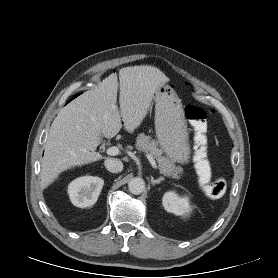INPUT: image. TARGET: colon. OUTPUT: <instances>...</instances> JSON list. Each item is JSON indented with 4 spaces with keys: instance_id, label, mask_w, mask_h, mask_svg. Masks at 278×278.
<instances>
[{
    "instance_id": "colon-1",
    "label": "colon",
    "mask_w": 278,
    "mask_h": 278,
    "mask_svg": "<svg viewBox=\"0 0 278 278\" xmlns=\"http://www.w3.org/2000/svg\"><path fill=\"white\" fill-rule=\"evenodd\" d=\"M185 115L194 129V158L200 172L202 190L210 198H220L226 191V181L223 177H217L214 180L209 179V168L206 160L207 114L201 107L189 104L185 108Z\"/></svg>"
}]
</instances>
